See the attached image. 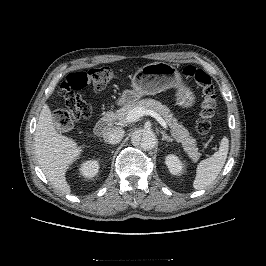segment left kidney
I'll list each match as a JSON object with an SVG mask.
<instances>
[{
    "mask_svg": "<svg viewBox=\"0 0 266 266\" xmlns=\"http://www.w3.org/2000/svg\"><path fill=\"white\" fill-rule=\"evenodd\" d=\"M165 163L169 169V171L173 174V175H180L183 171V164L182 162L179 160V158L173 154L168 155L166 157Z\"/></svg>",
    "mask_w": 266,
    "mask_h": 266,
    "instance_id": "left-kidney-1",
    "label": "left kidney"
}]
</instances>
